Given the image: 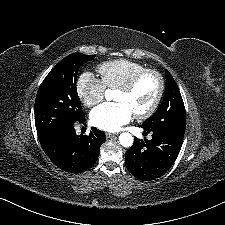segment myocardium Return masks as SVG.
Listing matches in <instances>:
<instances>
[{
    "label": "myocardium",
    "mask_w": 225,
    "mask_h": 225,
    "mask_svg": "<svg viewBox=\"0 0 225 225\" xmlns=\"http://www.w3.org/2000/svg\"><path fill=\"white\" fill-rule=\"evenodd\" d=\"M151 74L154 75L157 78L158 81V89H157V93L156 96L152 102V104L143 112L134 114V117L136 119H146L149 116H151L156 109L158 108L161 99L163 97L164 94V89H165V81L163 76L155 69H148L145 68L141 71H139L138 73H136L135 75H133L127 83H125L124 85H122L121 87L118 88L119 91L124 92V93H130L131 91H133V89L135 88V86L137 85V83L146 75Z\"/></svg>",
    "instance_id": "1"
}]
</instances>
